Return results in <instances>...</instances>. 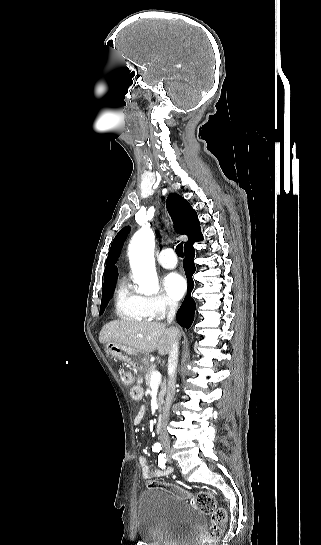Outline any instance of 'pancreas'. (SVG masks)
Instances as JSON below:
<instances>
[{"label": "pancreas", "mask_w": 321, "mask_h": 545, "mask_svg": "<svg viewBox=\"0 0 321 545\" xmlns=\"http://www.w3.org/2000/svg\"><path fill=\"white\" fill-rule=\"evenodd\" d=\"M153 371H156V365H152V363H150V367L149 369H147V371H145V383L148 387V389H150V381H151V375L153 373ZM166 383H162L161 385V391L159 393V403H158V407H159V411H162L161 407L164 403L163 399L166 395Z\"/></svg>", "instance_id": "cf45deb5"}]
</instances>
